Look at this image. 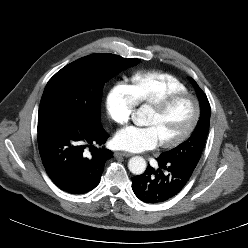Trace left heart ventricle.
<instances>
[{"instance_id": "left-heart-ventricle-1", "label": "left heart ventricle", "mask_w": 248, "mask_h": 248, "mask_svg": "<svg viewBox=\"0 0 248 248\" xmlns=\"http://www.w3.org/2000/svg\"><path fill=\"white\" fill-rule=\"evenodd\" d=\"M193 113V102L185 98L175 102L162 114H158L150 109L145 125L152 126L156 130L160 142L168 141L184 132L191 122Z\"/></svg>"}]
</instances>
